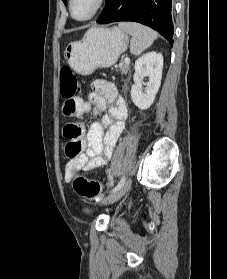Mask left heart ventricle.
<instances>
[{
	"instance_id": "left-heart-ventricle-1",
	"label": "left heart ventricle",
	"mask_w": 227,
	"mask_h": 279,
	"mask_svg": "<svg viewBox=\"0 0 227 279\" xmlns=\"http://www.w3.org/2000/svg\"><path fill=\"white\" fill-rule=\"evenodd\" d=\"M95 5V0H74L72 11L76 18H84L90 14Z\"/></svg>"
}]
</instances>
